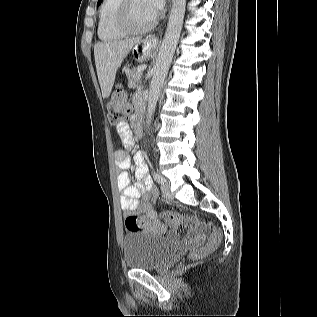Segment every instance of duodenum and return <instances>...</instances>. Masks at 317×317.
<instances>
[{"instance_id":"410a0bca","label":"duodenum","mask_w":317,"mask_h":317,"mask_svg":"<svg viewBox=\"0 0 317 317\" xmlns=\"http://www.w3.org/2000/svg\"><path fill=\"white\" fill-rule=\"evenodd\" d=\"M135 129H136V133L138 135V137L142 136V132H143V128L140 122H136L135 123Z\"/></svg>"}]
</instances>
